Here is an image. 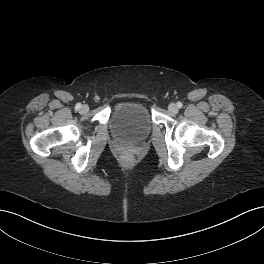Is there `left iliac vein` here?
Wrapping results in <instances>:
<instances>
[{
	"label": "left iliac vein",
	"instance_id": "left-iliac-vein-1",
	"mask_svg": "<svg viewBox=\"0 0 264 264\" xmlns=\"http://www.w3.org/2000/svg\"><path fill=\"white\" fill-rule=\"evenodd\" d=\"M168 110L172 113H177L178 112V107L175 103H170L168 106Z\"/></svg>",
	"mask_w": 264,
	"mask_h": 264
}]
</instances>
